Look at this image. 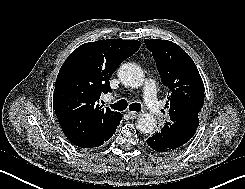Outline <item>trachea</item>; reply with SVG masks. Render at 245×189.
Masks as SVG:
<instances>
[{
	"label": "trachea",
	"instance_id": "1",
	"mask_svg": "<svg viewBox=\"0 0 245 189\" xmlns=\"http://www.w3.org/2000/svg\"><path fill=\"white\" fill-rule=\"evenodd\" d=\"M111 108H113L114 110H118V111H123L127 108L128 103L125 99H121L119 100L117 103L111 104L110 105ZM141 105L139 103H132L129 105V110L131 111H141Z\"/></svg>",
	"mask_w": 245,
	"mask_h": 189
}]
</instances>
